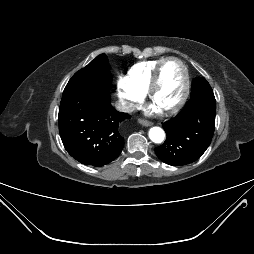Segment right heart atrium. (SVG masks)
Masks as SVG:
<instances>
[{
  "mask_svg": "<svg viewBox=\"0 0 254 254\" xmlns=\"http://www.w3.org/2000/svg\"><path fill=\"white\" fill-rule=\"evenodd\" d=\"M117 95L125 109L140 103L144 94L136 89L127 76H119L117 79Z\"/></svg>",
  "mask_w": 254,
  "mask_h": 254,
  "instance_id": "d8ad5b80",
  "label": "right heart atrium"
}]
</instances>
